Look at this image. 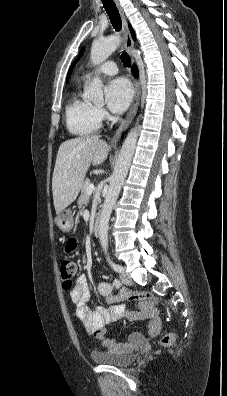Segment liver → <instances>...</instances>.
<instances>
[{
  "label": "liver",
  "instance_id": "1",
  "mask_svg": "<svg viewBox=\"0 0 227 396\" xmlns=\"http://www.w3.org/2000/svg\"><path fill=\"white\" fill-rule=\"evenodd\" d=\"M109 150L110 146L99 136L73 138L60 145L52 178L56 214L76 199L89 166L101 164Z\"/></svg>",
  "mask_w": 227,
  "mask_h": 396
}]
</instances>
